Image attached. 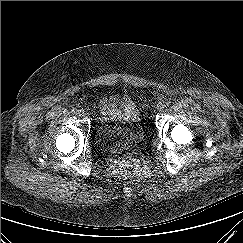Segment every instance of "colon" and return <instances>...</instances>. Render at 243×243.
<instances>
[{
  "label": "colon",
  "mask_w": 243,
  "mask_h": 243,
  "mask_svg": "<svg viewBox=\"0 0 243 243\" xmlns=\"http://www.w3.org/2000/svg\"><path fill=\"white\" fill-rule=\"evenodd\" d=\"M121 173L126 177H135L139 175L141 169L137 160L131 157H125L120 163Z\"/></svg>",
  "instance_id": "obj_1"
}]
</instances>
